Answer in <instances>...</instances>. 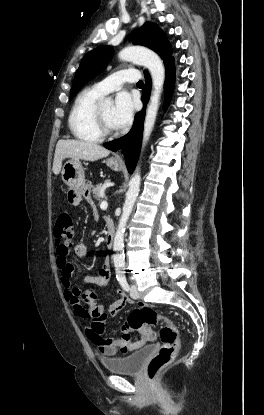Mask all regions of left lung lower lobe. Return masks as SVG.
I'll use <instances>...</instances> for the list:
<instances>
[{
  "label": "left lung lower lobe",
  "instance_id": "0a47b994",
  "mask_svg": "<svg viewBox=\"0 0 264 415\" xmlns=\"http://www.w3.org/2000/svg\"><path fill=\"white\" fill-rule=\"evenodd\" d=\"M165 69H166V76H165L164 88L166 90V99H165L164 108L167 107L172 91H173L174 79H175L174 58L165 64ZM145 78H146V83L144 85L143 95L141 98L144 103V109L138 114H136L132 129L127 135L104 144V147L114 152L123 147V153L126 159V166H127L129 173L133 172L136 166L138 157H139L141 141H142L143 123H144V117H145V107L150 97V90H151V85H152L151 78L149 74H145Z\"/></svg>",
  "mask_w": 264,
  "mask_h": 415
}]
</instances>
